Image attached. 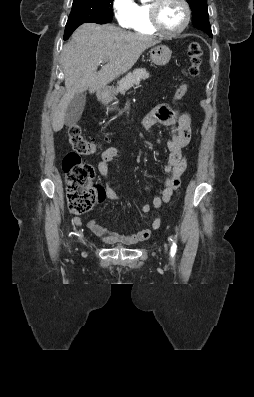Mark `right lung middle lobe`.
<instances>
[{
	"instance_id": "dd1d6c3e",
	"label": "right lung middle lobe",
	"mask_w": 254,
	"mask_h": 397,
	"mask_svg": "<svg viewBox=\"0 0 254 397\" xmlns=\"http://www.w3.org/2000/svg\"><path fill=\"white\" fill-rule=\"evenodd\" d=\"M112 3L113 0H73L66 26L86 22L109 23L112 20Z\"/></svg>"
}]
</instances>
